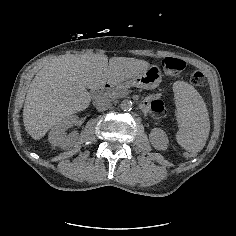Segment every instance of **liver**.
<instances>
[{
	"label": "liver",
	"mask_w": 236,
	"mask_h": 236,
	"mask_svg": "<svg viewBox=\"0 0 236 236\" xmlns=\"http://www.w3.org/2000/svg\"><path fill=\"white\" fill-rule=\"evenodd\" d=\"M32 80L23 108L25 130L39 140L53 127L90 105L91 93L106 82L117 85L138 76L148 66L133 58L108 57L93 52L42 59Z\"/></svg>",
	"instance_id": "obj_1"
}]
</instances>
